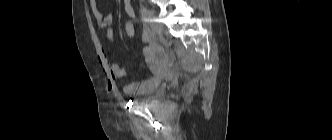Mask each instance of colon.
Here are the masks:
<instances>
[{
	"label": "colon",
	"mask_w": 332,
	"mask_h": 140,
	"mask_svg": "<svg viewBox=\"0 0 332 140\" xmlns=\"http://www.w3.org/2000/svg\"><path fill=\"white\" fill-rule=\"evenodd\" d=\"M124 31L127 36H133L135 33V27H134L133 22L126 21L124 24Z\"/></svg>",
	"instance_id": "1"
}]
</instances>
